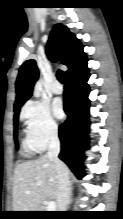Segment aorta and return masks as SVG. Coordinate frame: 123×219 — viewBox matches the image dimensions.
Segmentation results:
<instances>
[{
	"mask_svg": "<svg viewBox=\"0 0 123 219\" xmlns=\"http://www.w3.org/2000/svg\"><path fill=\"white\" fill-rule=\"evenodd\" d=\"M41 92H42V82L41 80H39L34 86V91H33L34 97L36 98L40 97Z\"/></svg>",
	"mask_w": 123,
	"mask_h": 219,
	"instance_id": "obj_1",
	"label": "aorta"
}]
</instances>
